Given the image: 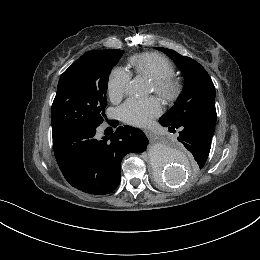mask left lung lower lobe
I'll use <instances>...</instances> for the list:
<instances>
[{
    "label": "left lung lower lobe",
    "instance_id": "obj_1",
    "mask_svg": "<svg viewBox=\"0 0 260 260\" xmlns=\"http://www.w3.org/2000/svg\"><path fill=\"white\" fill-rule=\"evenodd\" d=\"M159 122L162 126L168 127L171 132H175V129L179 130V142L193 154L199 167H203L210 152L214 129L193 120L173 124L164 116L159 119Z\"/></svg>",
    "mask_w": 260,
    "mask_h": 260
}]
</instances>
